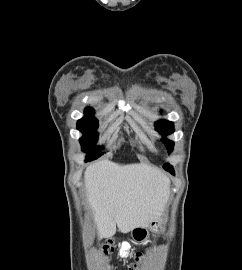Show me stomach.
Instances as JSON below:
<instances>
[{"instance_id": "1", "label": "stomach", "mask_w": 242, "mask_h": 270, "mask_svg": "<svg viewBox=\"0 0 242 270\" xmlns=\"http://www.w3.org/2000/svg\"><path fill=\"white\" fill-rule=\"evenodd\" d=\"M165 222V218L161 215L156 217L150 222L148 227L137 226L130 231L132 241L136 244L143 243L148 239L149 230L154 233H159L162 230V226Z\"/></svg>"}]
</instances>
